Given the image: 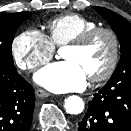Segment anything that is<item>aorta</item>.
Listing matches in <instances>:
<instances>
[{
  "label": "aorta",
  "mask_w": 131,
  "mask_h": 131,
  "mask_svg": "<svg viewBox=\"0 0 131 131\" xmlns=\"http://www.w3.org/2000/svg\"><path fill=\"white\" fill-rule=\"evenodd\" d=\"M64 108L69 114H80L84 110V102L79 96L72 95L65 99Z\"/></svg>",
  "instance_id": "obj_1"
}]
</instances>
